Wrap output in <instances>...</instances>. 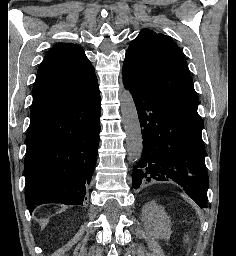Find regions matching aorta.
Instances as JSON below:
<instances>
[{"label": "aorta", "mask_w": 236, "mask_h": 256, "mask_svg": "<svg viewBox=\"0 0 236 256\" xmlns=\"http://www.w3.org/2000/svg\"><path fill=\"white\" fill-rule=\"evenodd\" d=\"M120 111L124 131L126 133V144L129 160L136 162L141 158L143 151V139L137 109L131 93L123 89L119 94Z\"/></svg>", "instance_id": "762f6f07"}]
</instances>
